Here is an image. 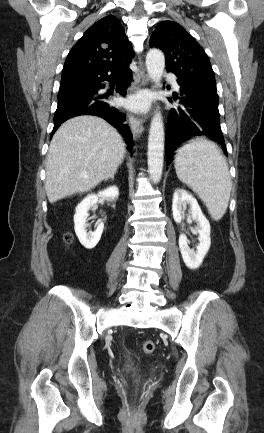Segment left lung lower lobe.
<instances>
[{
  "instance_id": "1",
  "label": "left lung lower lobe",
  "mask_w": 264,
  "mask_h": 433,
  "mask_svg": "<svg viewBox=\"0 0 264 433\" xmlns=\"http://www.w3.org/2000/svg\"><path fill=\"white\" fill-rule=\"evenodd\" d=\"M181 94H173L169 101H178L168 120L165 151L167 164L174 150L192 137H207L219 143L225 154L226 145L220 127L219 98L216 88L205 85H186L178 80Z\"/></svg>"
}]
</instances>
